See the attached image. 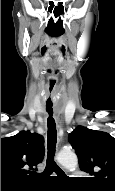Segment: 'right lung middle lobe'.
I'll return each instance as SVG.
<instances>
[{
	"mask_svg": "<svg viewBox=\"0 0 115 191\" xmlns=\"http://www.w3.org/2000/svg\"><path fill=\"white\" fill-rule=\"evenodd\" d=\"M16 189L13 188H7V187H1V191H14Z\"/></svg>",
	"mask_w": 115,
	"mask_h": 191,
	"instance_id": "1",
	"label": "right lung middle lobe"
}]
</instances>
